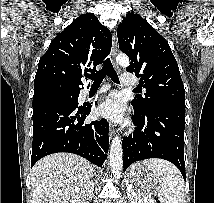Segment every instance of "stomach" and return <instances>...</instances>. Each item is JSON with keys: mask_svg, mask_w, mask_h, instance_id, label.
<instances>
[{"mask_svg": "<svg viewBox=\"0 0 214 203\" xmlns=\"http://www.w3.org/2000/svg\"><path fill=\"white\" fill-rule=\"evenodd\" d=\"M127 180L134 191L142 196L153 195L159 190L158 175L141 163H136L129 168Z\"/></svg>", "mask_w": 214, "mask_h": 203, "instance_id": "stomach-1", "label": "stomach"}]
</instances>
